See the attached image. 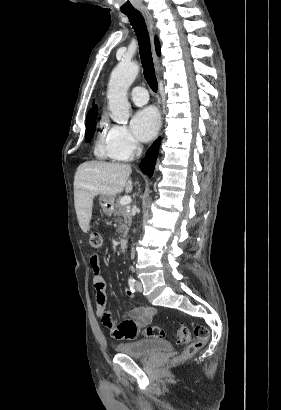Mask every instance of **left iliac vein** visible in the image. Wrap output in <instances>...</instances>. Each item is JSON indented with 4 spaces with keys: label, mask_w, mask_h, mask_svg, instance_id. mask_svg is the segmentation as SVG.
Returning a JSON list of instances; mask_svg holds the SVG:
<instances>
[{
    "label": "left iliac vein",
    "mask_w": 281,
    "mask_h": 410,
    "mask_svg": "<svg viewBox=\"0 0 281 410\" xmlns=\"http://www.w3.org/2000/svg\"><path fill=\"white\" fill-rule=\"evenodd\" d=\"M136 288H137V290L139 291V292H141L142 291V284H141V282L140 281H138L137 282V284H136Z\"/></svg>",
    "instance_id": "left-iliac-vein-1"
}]
</instances>
